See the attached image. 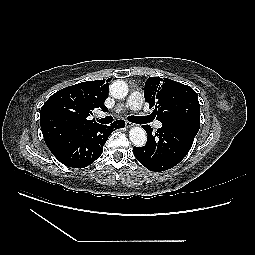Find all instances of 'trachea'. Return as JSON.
Wrapping results in <instances>:
<instances>
[{"label":"trachea","mask_w":255,"mask_h":255,"mask_svg":"<svg viewBox=\"0 0 255 255\" xmlns=\"http://www.w3.org/2000/svg\"><path fill=\"white\" fill-rule=\"evenodd\" d=\"M128 120L133 123H144L149 121V117H140V116H128ZM113 121V117L107 116L105 118L98 119V122L101 124H109Z\"/></svg>","instance_id":"3493384b"}]
</instances>
